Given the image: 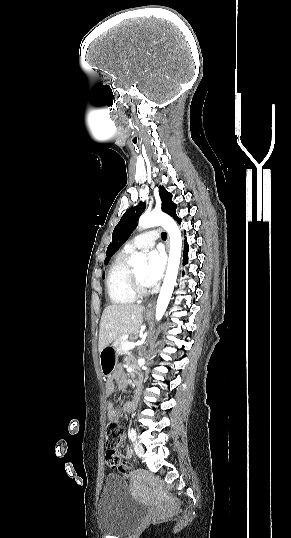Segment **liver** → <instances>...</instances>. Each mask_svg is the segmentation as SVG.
<instances>
[{"label": "liver", "mask_w": 291, "mask_h": 538, "mask_svg": "<svg viewBox=\"0 0 291 538\" xmlns=\"http://www.w3.org/2000/svg\"><path fill=\"white\" fill-rule=\"evenodd\" d=\"M144 306L135 304H112L106 306L103 311L98 349L109 346L110 343L119 339L124 334H132L142 323Z\"/></svg>", "instance_id": "obj_1"}]
</instances>
